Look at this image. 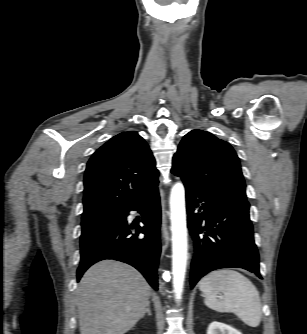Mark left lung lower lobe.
Listing matches in <instances>:
<instances>
[{
	"label": "left lung lower lobe",
	"mask_w": 307,
	"mask_h": 334,
	"mask_svg": "<svg viewBox=\"0 0 307 334\" xmlns=\"http://www.w3.org/2000/svg\"><path fill=\"white\" fill-rule=\"evenodd\" d=\"M183 183L188 228L195 251L191 265V287L208 272L219 268H243L262 279L248 201L229 193ZM203 221L205 226H202Z\"/></svg>",
	"instance_id": "0a47b994"
}]
</instances>
